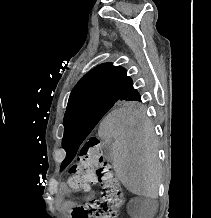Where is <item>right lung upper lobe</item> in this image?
<instances>
[{"label": "right lung upper lobe", "mask_w": 211, "mask_h": 218, "mask_svg": "<svg viewBox=\"0 0 211 218\" xmlns=\"http://www.w3.org/2000/svg\"><path fill=\"white\" fill-rule=\"evenodd\" d=\"M126 70L112 63L101 64L89 71L71 92L67 109L77 104L100 99H125V89L132 83Z\"/></svg>", "instance_id": "1"}]
</instances>
